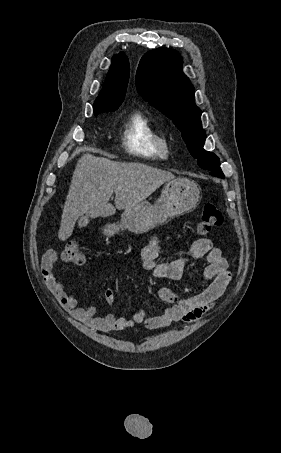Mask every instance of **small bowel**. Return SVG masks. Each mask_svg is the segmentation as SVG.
Returning a JSON list of instances; mask_svg holds the SVG:
<instances>
[{"instance_id":"obj_1","label":"small bowel","mask_w":281,"mask_h":453,"mask_svg":"<svg viewBox=\"0 0 281 453\" xmlns=\"http://www.w3.org/2000/svg\"><path fill=\"white\" fill-rule=\"evenodd\" d=\"M159 253V242L156 236H152L142 251L143 269L155 278L172 280L181 279L189 263L206 255L207 264L203 273L204 280L201 282L206 284V288L201 293L180 298L174 289L160 287L157 290L158 298L171 306L155 315L137 310L125 317L115 314L100 316L94 306L81 304L55 276V266L59 257L57 250L50 249L42 257V274L46 283L72 315L100 332L120 331L141 323L149 330H156L180 320L188 323L200 321L204 313L221 298L230 281L231 272L227 260L218 249L212 248L207 238L197 239L184 255L171 261L158 262ZM102 297L106 302L112 303L116 297V290L106 288Z\"/></svg>"}]
</instances>
